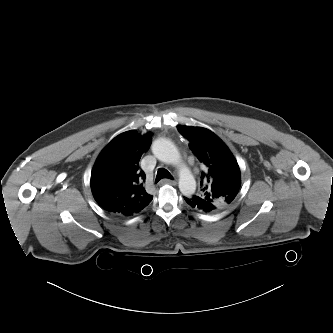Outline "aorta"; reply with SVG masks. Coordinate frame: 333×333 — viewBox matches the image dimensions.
<instances>
[{
    "mask_svg": "<svg viewBox=\"0 0 333 333\" xmlns=\"http://www.w3.org/2000/svg\"><path fill=\"white\" fill-rule=\"evenodd\" d=\"M152 152L158 160L178 165L181 161L180 153L174 143L166 138H159L152 144ZM179 189L185 196L194 194L196 190V181L190 170L182 168L179 171Z\"/></svg>",
    "mask_w": 333,
    "mask_h": 333,
    "instance_id": "aorta-1",
    "label": "aorta"
}]
</instances>
